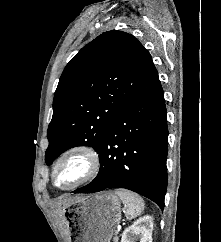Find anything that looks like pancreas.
<instances>
[{
  "mask_svg": "<svg viewBox=\"0 0 221 242\" xmlns=\"http://www.w3.org/2000/svg\"><path fill=\"white\" fill-rule=\"evenodd\" d=\"M114 242H118V237H115L114 238Z\"/></svg>",
  "mask_w": 221,
  "mask_h": 242,
  "instance_id": "obj_1",
  "label": "pancreas"
}]
</instances>
